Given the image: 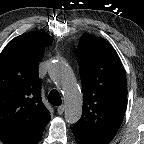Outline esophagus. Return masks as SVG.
Returning a JSON list of instances; mask_svg holds the SVG:
<instances>
[{"instance_id": "esophagus-1", "label": "esophagus", "mask_w": 144, "mask_h": 144, "mask_svg": "<svg viewBox=\"0 0 144 144\" xmlns=\"http://www.w3.org/2000/svg\"><path fill=\"white\" fill-rule=\"evenodd\" d=\"M64 110H65V106H64V105H60V106L57 108V113H58L59 115H61V114H63Z\"/></svg>"}]
</instances>
